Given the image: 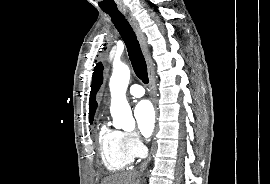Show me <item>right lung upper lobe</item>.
Returning <instances> with one entry per match:
<instances>
[{
	"label": "right lung upper lobe",
	"mask_w": 270,
	"mask_h": 184,
	"mask_svg": "<svg viewBox=\"0 0 270 184\" xmlns=\"http://www.w3.org/2000/svg\"><path fill=\"white\" fill-rule=\"evenodd\" d=\"M102 71H103V66L101 63H98L94 69V73L92 77V88L90 92V101H89V121L91 120L93 121L95 111L97 108L95 95L102 84Z\"/></svg>",
	"instance_id": "cb5924a9"
}]
</instances>
